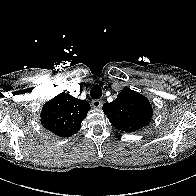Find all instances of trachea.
I'll list each match as a JSON object with an SVG mask.
<instances>
[{"label": "trachea", "instance_id": "1", "mask_svg": "<svg viewBox=\"0 0 196 196\" xmlns=\"http://www.w3.org/2000/svg\"><path fill=\"white\" fill-rule=\"evenodd\" d=\"M90 95L93 99H99L102 96V89L100 86L95 85L90 91Z\"/></svg>", "mask_w": 196, "mask_h": 196}]
</instances>
